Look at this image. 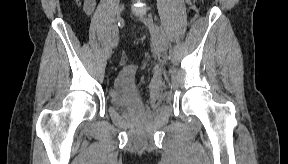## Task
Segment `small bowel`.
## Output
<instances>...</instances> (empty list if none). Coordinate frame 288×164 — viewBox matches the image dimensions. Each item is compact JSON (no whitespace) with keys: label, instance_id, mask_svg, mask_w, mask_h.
I'll list each match as a JSON object with an SVG mask.
<instances>
[{"label":"small bowel","instance_id":"c3829d8e","mask_svg":"<svg viewBox=\"0 0 288 164\" xmlns=\"http://www.w3.org/2000/svg\"><path fill=\"white\" fill-rule=\"evenodd\" d=\"M95 10V1L94 0H87L84 3V12L87 16H91Z\"/></svg>","mask_w":288,"mask_h":164}]
</instances>
